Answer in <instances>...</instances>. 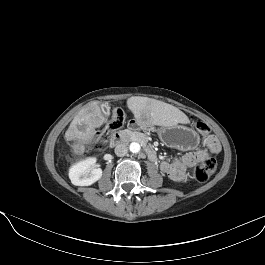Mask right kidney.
Instances as JSON below:
<instances>
[{
  "label": "right kidney",
  "mask_w": 265,
  "mask_h": 265,
  "mask_svg": "<svg viewBox=\"0 0 265 265\" xmlns=\"http://www.w3.org/2000/svg\"><path fill=\"white\" fill-rule=\"evenodd\" d=\"M96 158H87L78 162L69 170V178L75 186H90L102 177V170L93 165Z\"/></svg>",
  "instance_id": "1"
}]
</instances>
